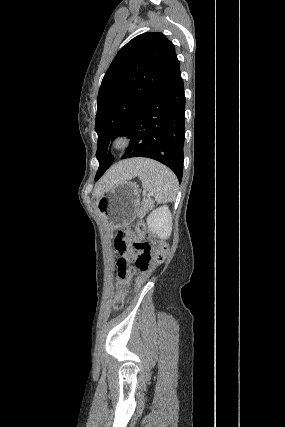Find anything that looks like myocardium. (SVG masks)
<instances>
[{
    "label": "myocardium",
    "mask_w": 285,
    "mask_h": 427,
    "mask_svg": "<svg viewBox=\"0 0 285 427\" xmlns=\"http://www.w3.org/2000/svg\"><path fill=\"white\" fill-rule=\"evenodd\" d=\"M130 138L126 134L116 135L111 143V146L114 150H122L129 146Z\"/></svg>",
    "instance_id": "obj_1"
}]
</instances>
